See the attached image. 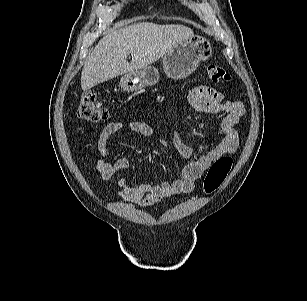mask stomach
Here are the masks:
<instances>
[{"label": "stomach", "instance_id": "obj_1", "mask_svg": "<svg viewBox=\"0 0 307 301\" xmlns=\"http://www.w3.org/2000/svg\"><path fill=\"white\" fill-rule=\"evenodd\" d=\"M212 55V48L208 41L201 36H191L177 43L163 58V69L168 78L180 80L192 74L202 61ZM158 70L147 66L125 74L119 86L127 91H138L145 86L155 85L159 81Z\"/></svg>", "mask_w": 307, "mask_h": 301}]
</instances>
